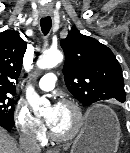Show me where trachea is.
Segmentation results:
<instances>
[{"mask_svg": "<svg viewBox=\"0 0 130 153\" xmlns=\"http://www.w3.org/2000/svg\"><path fill=\"white\" fill-rule=\"evenodd\" d=\"M40 26H41V30L42 32L46 35L49 33L51 26H52V20L50 16L41 18L40 21Z\"/></svg>", "mask_w": 130, "mask_h": 153, "instance_id": "1", "label": "trachea"}]
</instances>
